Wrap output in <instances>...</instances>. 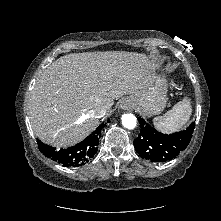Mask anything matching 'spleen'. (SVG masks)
Listing matches in <instances>:
<instances>
[{"label":"spleen","mask_w":221,"mask_h":221,"mask_svg":"<svg viewBox=\"0 0 221 221\" xmlns=\"http://www.w3.org/2000/svg\"><path fill=\"white\" fill-rule=\"evenodd\" d=\"M192 114L191 102L187 97L178 102L163 116L155 117L153 124L163 133H173L180 130Z\"/></svg>","instance_id":"spleen-1"}]
</instances>
